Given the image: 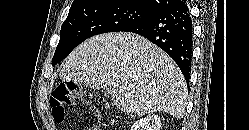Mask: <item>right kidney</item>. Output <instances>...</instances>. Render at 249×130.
I'll return each instance as SVG.
<instances>
[{"label":"right kidney","mask_w":249,"mask_h":130,"mask_svg":"<svg viewBox=\"0 0 249 130\" xmlns=\"http://www.w3.org/2000/svg\"><path fill=\"white\" fill-rule=\"evenodd\" d=\"M161 119L158 115H150L136 121L131 130H160Z\"/></svg>","instance_id":"right-kidney-1"}]
</instances>
